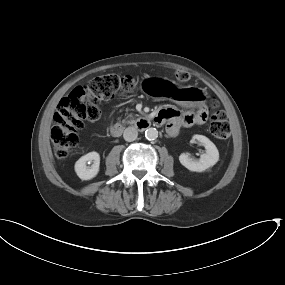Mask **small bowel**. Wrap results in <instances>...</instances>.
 <instances>
[{"label":"small bowel","mask_w":285,"mask_h":285,"mask_svg":"<svg viewBox=\"0 0 285 285\" xmlns=\"http://www.w3.org/2000/svg\"><path fill=\"white\" fill-rule=\"evenodd\" d=\"M157 116L163 119L166 133L169 135H175L181 127L194 122H203L207 118V114L201 109L195 112H180L171 105L162 106ZM191 117L192 119H190Z\"/></svg>","instance_id":"obj_1"}]
</instances>
